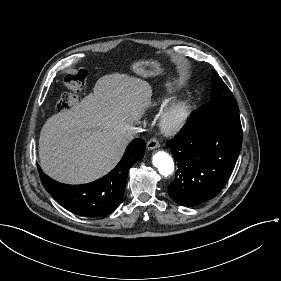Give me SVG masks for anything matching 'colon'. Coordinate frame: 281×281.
<instances>
[{
    "mask_svg": "<svg viewBox=\"0 0 281 281\" xmlns=\"http://www.w3.org/2000/svg\"><path fill=\"white\" fill-rule=\"evenodd\" d=\"M86 77L87 70L85 68H78L64 76L63 83L66 91L60 95L57 101L59 112L69 111L76 106L78 100L76 92L83 87Z\"/></svg>",
    "mask_w": 281,
    "mask_h": 281,
    "instance_id": "1",
    "label": "colon"
}]
</instances>
